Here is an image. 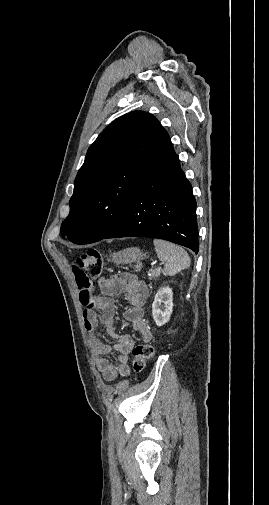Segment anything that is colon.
<instances>
[{
  "mask_svg": "<svg viewBox=\"0 0 269 505\" xmlns=\"http://www.w3.org/2000/svg\"><path fill=\"white\" fill-rule=\"evenodd\" d=\"M76 261L80 268H85L91 281H98L103 272V265L100 253L96 249H88L81 252ZM139 265L136 266V269ZM154 347L150 344H139L133 349L132 367L135 373L142 372L147 363L153 358Z\"/></svg>",
  "mask_w": 269,
  "mask_h": 505,
  "instance_id": "5ec220e1",
  "label": "colon"
}]
</instances>
